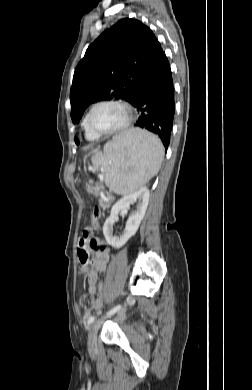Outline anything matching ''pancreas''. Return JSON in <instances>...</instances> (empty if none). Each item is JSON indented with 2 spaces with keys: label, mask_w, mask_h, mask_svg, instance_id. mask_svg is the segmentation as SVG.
<instances>
[{
  "label": "pancreas",
  "mask_w": 252,
  "mask_h": 390,
  "mask_svg": "<svg viewBox=\"0 0 252 390\" xmlns=\"http://www.w3.org/2000/svg\"><path fill=\"white\" fill-rule=\"evenodd\" d=\"M111 203L112 202H105L104 197H102L100 200V206L105 209L109 208L111 206Z\"/></svg>",
  "instance_id": "pancreas-1"
}]
</instances>
